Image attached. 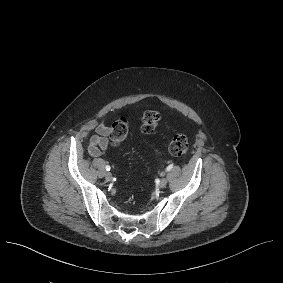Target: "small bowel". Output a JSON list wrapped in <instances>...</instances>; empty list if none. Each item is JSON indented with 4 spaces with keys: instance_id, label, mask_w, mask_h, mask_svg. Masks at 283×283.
I'll return each instance as SVG.
<instances>
[{
    "instance_id": "1",
    "label": "small bowel",
    "mask_w": 283,
    "mask_h": 283,
    "mask_svg": "<svg viewBox=\"0 0 283 283\" xmlns=\"http://www.w3.org/2000/svg\"><path fill=\"white\" fill-rule=\"evenodd\" d=\"M110 128L104 121H101L96 127V133L91 137L88 147V153L92 157H98L103 151L109 149L110 143L108 136Z\"/></svg>"
}]
</instances>
